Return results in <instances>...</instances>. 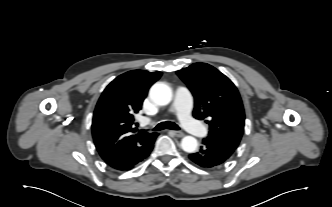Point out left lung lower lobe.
Masks as SVG:
<instances>
[{
  "mask_svg": "<svg viewBox=\"0 0 332 207\" xmlns=\"http://www.w3.org/2000/svg\"><path fill=\"white\" fill-rule=\"evenodd\" d=\"M202 144L200 150L190 154L189 158L203 168L221 166L231 157L235 150L208 138L203 139Z\"/></svg>",
  "mask_w": 332,
  "mask_h": 207,
  "instance_id": "obj_1",
  "label": "left lung lower lobe"
}]
</instances>
